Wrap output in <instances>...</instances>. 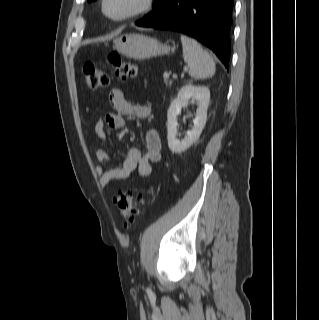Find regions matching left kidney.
Returning a JSON list of instances; mask_svg holds the SVG:
<instances>
[{
  "label": "left kidney",
  "instance_id": "1",
  "mask_svg": "<svg viewBox=\"0 0 319 320\" xmlns=\"http://www.w3.org/2000/svg\"><path fill=\"white\" fill-rule=\"evenodd\" d=\"M197 101L196 117L192 130L187 132L184 139L177 138V116L183 107H187L189 100ZM210 101V90L204 86L184 85L177 97L171 102L167 112V139L172 153H181L189 148L201 135L207 120V109Z\"/></svg>",
  "mask_w": 319,
  "mask_h": 320
}]
</instances>
